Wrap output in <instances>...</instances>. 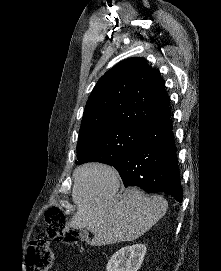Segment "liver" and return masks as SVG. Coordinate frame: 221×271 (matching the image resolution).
<instances>
[{
	"instance_id": "1",
	"label": "liver",
	"mask_w": 221,
	"mask_h": 271,
	"mask_svg": "<svg viewBox=\"0 0 221 271\" xmlns=\"http://www.w3.org/2000/svg\"><path fill=\"white\" fill-rule=\"evenodd\" d=\"M73 177L72 199L77 211L69 225L92 231L89 245L133 241L167 211L162 195H146L139 187H129L122 197H115L121 181L116 169L105 163H82Z\"/></svg>"
}]
</instances>
